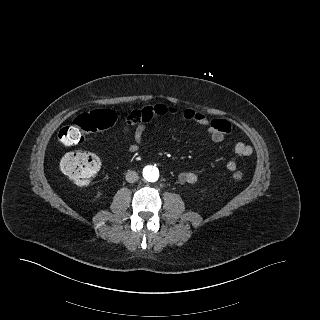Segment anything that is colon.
Segmentation results:
<instances>
[{
    "mask_svg": "<svg viewBox=\"0 0 320 320\" xmlns=\"http://www.w3.org/2000/svg\"><path fill=\"white\" fill-rule=\"evenodd\" d=\"M118 113L111 109H95L79 115L72 123L59 130V140L67 145H74L82 141L86 132L107 129L118 120ZM143 121L140 119L139 122ZM100 167L98 157L91 152L76 151L67 154L61 162V168L76 185L86 187L95 178ZM243 178L241 172H235L233 179Z\"/></svg>",
    "mask_w": 320,
    "mask_h": 320,
    "instance_id": "1",
    "label": "colon"
}]
</instances>
